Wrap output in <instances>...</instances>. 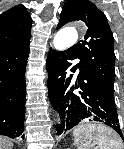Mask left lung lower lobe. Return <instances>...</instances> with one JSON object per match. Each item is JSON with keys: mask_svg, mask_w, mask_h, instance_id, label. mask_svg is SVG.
Returning <instances> with one entry per match:
<instances>
[{"mask_svg": "<svg viewBox=\"0 0 124 149\" xmlns=\"http://www.w3.org/2000/svg\"><path fill=\"white\" fill-rule=\"evenodd\" d=\"M79 58L70 48L65 51L51 50L47 57L48 97L54 109L60 114L61 124L56 125L57 135L70 130L82 119L92 117L112 128L122 139L123 135L114 101V90L92 78L80 61L73 68L72 60ZM80 73L75 83L73 74L67 77V71ZM79 88V94L73 93Z\"/></svg>", "mask_w": 124, "mask_h": 149, "instance_id": "0a47b994", "label": "left lung lower lobe"}]
</instances>
